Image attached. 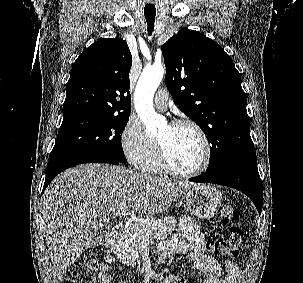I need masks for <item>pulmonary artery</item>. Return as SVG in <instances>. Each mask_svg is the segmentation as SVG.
<instances>
[{
    "instance_id": "obj_1",
    "label": "pulmonary artery",
    "mask_w": 303,
    "mask_h": 283,
    "mask_svg": "<svg viewBox=\"0 0 303 283\" xmlns=\"http://www.w3.org/2000/svg\"><path fill=\"white\" fill-rule=\"evenodd\" d=\"M169 93L166 89L157 91L154 98V105L159 110H166L168 107Z\"/></svg>"
}]
</instances>
